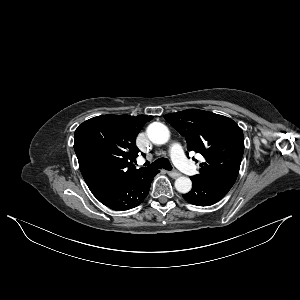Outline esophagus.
Returning a JSON list of instances; mask_svg holds the SVG:
<instances>
[{
  "label": "esophagus",
  "instance_id": "esophagus-1",
  "mask_svg": "<svg viewBox=\"0 0 300 300\" xmlns=\"http://www.w3.org/2000/svg\"><path fill=\"white\" fill-rule=\"evenodd\" d=\"M168 175L172 178H178L179 176H181V174L176 171H169Z\"/></svg>",
  "mask_w": 300,
  "mask_h": 300
}]
</instances>
